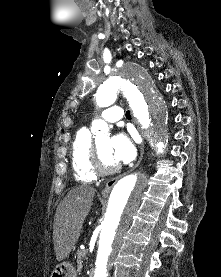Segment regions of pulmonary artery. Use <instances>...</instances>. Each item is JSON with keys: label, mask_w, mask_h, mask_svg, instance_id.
I'll use <instances>...</instances> for the list:
<instances>
[{"label": "pulmonary artery", "mask_w": 221, "mask_h": 277, "mask_svg": "<svg viewBox=\"0 0 221 277\" xmlns=\"http://www.w3.org/2000/svg\"><path fill=\"white\" fill-rule=\"evenodd\" d=\"M123 110L119 106H111L102 111L101 117L107 122H117L123 118Z\"/></svg>", "instance_id": "obj_1"}]
</instances>
